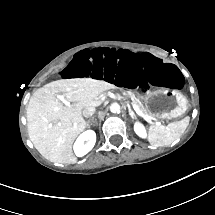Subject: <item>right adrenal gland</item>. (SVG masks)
<instances>
[{
  "mask_svg": "<svg viewBox=\"0 0 215 215\" xmlns=\"http://www.w3.org/2000/svg\"><path fill=\"white\" fill-rule=\"evenodd\" d=\"M86 126H87V127H90V125H89L88 123H86Z\"/></svg>",
  "mask_w": 215,
  "mask_h": 215,
  "instance_id": "obj_1",
  "label": "right adrenal gland"
}]
</instances>
